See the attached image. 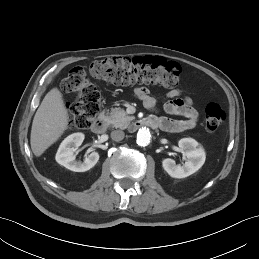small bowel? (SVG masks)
Here are the masks:
<instances>
[{
    "label": "small bowel",
    "instance_id": "c3829d8e",
    "mask_svg": "<svg viewBox=\"0 0 259 259\" xmlns=\"http://www.w3.org/2000/svg\"><path fill=\"white\" fill-rule=\"evenodd\" d=\"M135 96L143 105L152 112H157L156 99L145 87H138L134 91ZM180 89H172L167 92L168 100L164 104V111L169 115H178L184 119H172L168 117H153L160 121V128L165 131H183L192 129L198 121V112L192 106V99L189 97L181 98Z\"/></svg>",
    "mask_w": 259,
    "mask_h": 259
}]
</instances>
